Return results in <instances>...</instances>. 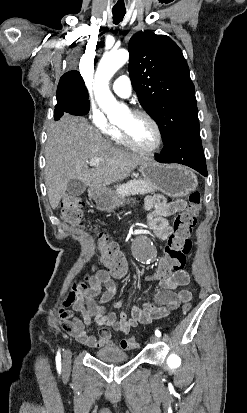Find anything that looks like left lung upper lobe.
Wrapping results in <instances>:
<instances>
[{"mask_svg": "<svg viewBox=\"0 0 247 413\" xmlns=\"http://www.w3.org/2000/svg\"><path fill=\"white\" fill-rule=\"evenodd\" d=\"M129 73L138 100L158 124L164 144L200 135L195 87L181 49L166 35L139 32L129 41Z\"/></svg>", "mask_w": 247, "mask_h": 413, "instance_id": "left-lung-upper-lobe-1", "label": "left lung upper lobe"}]
</instances>
